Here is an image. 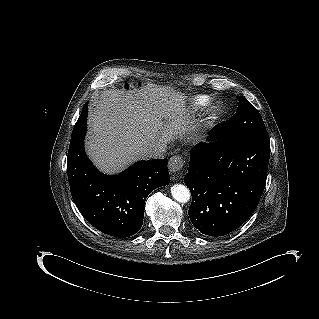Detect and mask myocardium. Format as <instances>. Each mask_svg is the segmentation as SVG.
Listing matches in <instances>:
<instances>
[{"label": "myocardium", "mask_w": 319, "mask_h": 319, "mask_svg": "<svg viewBox=\"0 0 319 319\" xmlns=\"http://www.w3.org/2000/svg\"><path fill=\"white\" fill-rule=\"evenodd\" d=\"M220 109V103L218 101H211L207 104L205 115H206V122L213 119Z\"/></svg>", "instance_id": "myocardium-1"}]
</instances>
